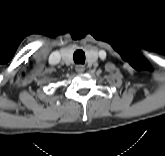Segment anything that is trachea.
<instances>
[{
    "label": "trachea",
    "mask_w": 165,
    "mask_h": 156,
    "mask_svg": "<svg viewBox=\"0 0 165 156\" xmlns=\"http://www.w3.org/2000/svg\"><path fill=\"white\" fill-rule=\"evenodd\" d=\"M73 59L76 64L85 63V53L82 50H77L73 54Z\"/></svg>",
    "instance_id": "trachea-1"
}]
</instances>
